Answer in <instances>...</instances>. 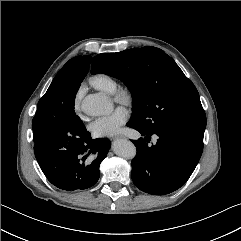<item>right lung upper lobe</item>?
I'll use <instances>...</instances> for the list:
<instances>
[{
    "label": "right lung upper lobe",
    "instance_id": "1",
    "mask_svg": "<svg viewBox=\"0 0 241 241\" xmlns=\"http://www.w3.org/2000/svg\"><path fill=\"white\" fill-rule=\"evenodd\" d=\"M90 59V56H77L70 59L57 73L53 81L69 79L80 87L81 82L89 71Z\"/></svg>",
    "mask_w": 241,
    "mask_h": 241
}]
</instances>
